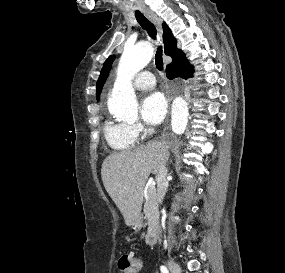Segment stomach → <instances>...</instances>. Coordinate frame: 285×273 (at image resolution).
I'll use <instances>...</instances> for the list:
<instances>
[{
	"label": "stomach",
	"instance_id": "0dacf381",
	"mask_svg": "<svg viewBox=\"0 0 285 273\" xmlns=\"http://www.w3.org/2000/svg\"><path fill=\"white\" fill-rule=\"evenodd\" d=\"M139 223H140V221L138 220L137 222H135V223L133 224V226H138Z\"/></svg>",
	"mask_w": 285,
	"mask_h": 273
}]
</instances>
